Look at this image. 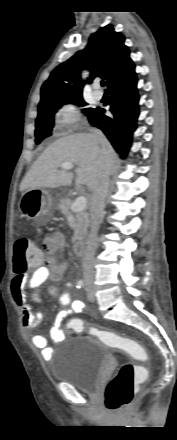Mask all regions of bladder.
<instances>
[{"label":"bladder","mask_w":177,"mask_h":440,"mask_svg":"<svg viewBox=\"0 0 177 440\" xmlns=\"http://www.w3.org/2000/svg\"><path fill=\"white\" fill-rule=\"evenodd\" d=\"M69 347L66 340L50 367L51 377L57 382L69 383L86 394H95L109 351L96 338L78 337Z\"/></svg>","instance_id":"1"}]
</instances>
